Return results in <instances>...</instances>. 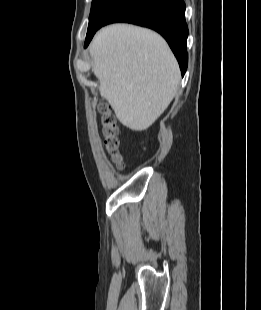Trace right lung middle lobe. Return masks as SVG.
I'll use <instances>...</instances> for the list:
<instances>
[{"label": "right lung middle lobe", "mask_w": 261, "mask_h": 310, "mask_svg": "<svg viewBox=\"0 0 261 310\" xmlns=\"http://www.w3.org/2000/svg\"><path fill=\"white\" fill-rule=\"evenodd\" d=\"M127 0H93L87 33L100 26L107 17Z\"/></svg>", "instance_id": "right-lung-middle-lobe-1"}]
</instances>
